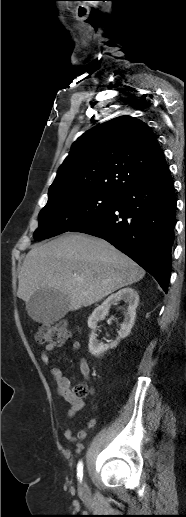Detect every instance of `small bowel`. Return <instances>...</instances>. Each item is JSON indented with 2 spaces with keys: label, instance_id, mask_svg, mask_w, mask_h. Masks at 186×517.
I'll list each match as a JSON object with an SVG mask.
<instances>
[{
  "label": "small bowel",
  "instance_id": "c3829d8e",
  "mask_svg": "<svg viewBox=\"0 0 186 517\" xmlns=\"http://www.w3.org/2000/svg\"><path fill=\"white\" fill-rule=\"evenodd\" d=\"M68 340L70 343V347L73 350L77 351L80 349L81 345H80L79 341L72 339V338H69ZM59 343L61 344V343H63V341H61ZM54 348H55V345L49 344L45 348L38 350L39 358L45 365H49V363H50L49 355H50V352L52 350H54ZM79 369H80V373H81L82 377L85 380H88L89 376H90V367H89V363L86 358L80 359ZM51 375L55 381L58 395L70 403V408L66 412V417L67 418L74 417L77 412H79L80 410H82L84 408V406H85L84 401L82 399L74 396L73 387H72L71 382L69 381L68 378H66L63 375L62 371L59 368L53 367L51 369ZM96 423H97V420L95 417L89 418L86 421L85 426L77 432L76 436H74L72 428H67L64 431V437L70 442L82 440V439L86 438L87 430L95 427Z\"/></svg>",
  "mask_w": 186,
  "mask_h": 517
}]
</instances>
